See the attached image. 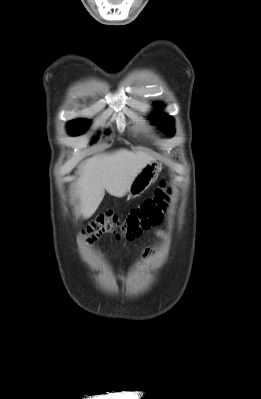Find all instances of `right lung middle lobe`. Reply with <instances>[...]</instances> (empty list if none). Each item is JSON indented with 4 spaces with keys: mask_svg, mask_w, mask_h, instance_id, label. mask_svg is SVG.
<instances>
[{
    "mask_svg": "<svg viewBox=\"0 0 261 399\" xmlns=\"http://www.w3.org/2000/svg\"><path fill=\"white\" fill-rule=\"evenodd\" d=\"M88 126V121L82 119L72 120L68 123V131L71 135H80Z\"/></svg>",
    "mask_w": 261,
    "mask_h": 399,
    "instance_id": "obj_1",
    "label": "right lung middle lobe"
}]
</instances>
